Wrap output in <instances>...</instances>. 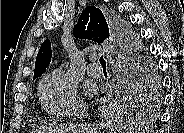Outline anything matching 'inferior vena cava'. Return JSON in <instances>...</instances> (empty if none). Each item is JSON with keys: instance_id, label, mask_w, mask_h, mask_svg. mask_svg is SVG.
<instances>
[{"instance_id": "obj_1", "label": "inferior vena cava", "mask_w": 184, "mask_h": 133, "mask_svg": "<svg viewBox=\"0 0 184 133\" xmlns=\"http://www.w3.org/2000/svg\"><path fill=\"white\" fill-rule=\"evenodd\" d=\"M85 115H86V113L83 109L78 110V112H77V117L78 118L82 119L83 117H85ZM79 126L83 128L84 133H94L95 132L93 130V128L87 123L81 124Z\"/></svg>"}]
</instances>
